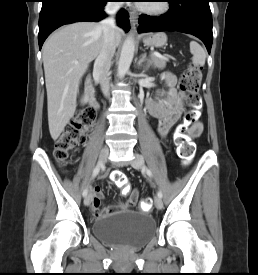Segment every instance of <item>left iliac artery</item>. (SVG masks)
<instances>
[{
    "instance_id": "left-iliac-artery-1",
    "label": "left iliac artery",
    "mask_w": 258,
    "mask_h": 275,
    "mask_svg": "<svg viewBox=\"0 0 258 275\" xmlns=\"http://www.w3.org/2000/svg\"><path fill=\"white\" fill-rule=\"evenodd\" d=\"M145 170H146L147 175L149 177H152V172L148 168H146ZM157 195H158L159 198H162V196H163L162 192L160 190L158 191Z\"/></svg>"
}]
</instances>
